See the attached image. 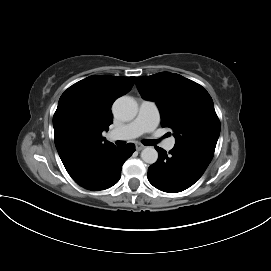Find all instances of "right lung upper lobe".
<instances>
[{"mask_svg": "<svg viewBox=\"0 0 271 271\" xmlns=\"http://www.w3.org/2000/svg\"><path fill=\"white\" fill-rule=\"evenodd\" d=\"M135 77L94 75L69 87L53 117L55 145L73 178L115 145L102 137L113 122L111 106L132 88Z\"/></svg>", "mask_w": 271, "mask_h": 271, "instance_id": "cb5924a9", "label": "right lung upper lobe"}]
</instances>
